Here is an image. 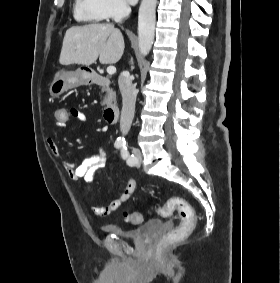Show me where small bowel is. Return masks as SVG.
<instances>
[{
	"label": "small bowel",
	"mask_w": 280,
	"mask_h": 283,
	"mask_svg": "<svg viewBox=\"0 0 280 283\" xmlns=\"http://www.w3.org/2000/svg\"><path fill=\"white\" fill-rule=\"evenodd\" d=\"M68 114L81 123L87 121L86 115L76 108L68 109ZM65 125L66 123L64 122H56V126L58 128H63ZM47 146L54 155L60 156L59 146L52 136L47 137ZM106 162V152L103 148H100L97 153L86 156L78 164L63 161V165L71 180H83L90 183L93 180L95 173L105 167ZM135 189L136 182L134 180H130L120 196L117 199L112 200L108 205L99 206L97 204L90 203L88 207L95 216L107 217L117 211L121 205L132 196Z\"/></svg>",
	"instance_id": "1"
}]
</instances>
